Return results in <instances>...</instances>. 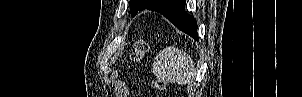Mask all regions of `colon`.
<instances>
[{"instance_id": "colon-1", "label": "colon", "mask_w": 302, "mask_h": 97, "mask_svg": "<svg viewBox=\"0 0 302 97\" xmlns=\"http://www.w3.org/2000/svg\"><path fill=\"white\" fill-rule=\"evenodd\" d=\"M146 51H147L146 42L139 39L134 43L133 48L129 54V57L134 62L140 61L143 58ZM152 87L156 89H162L164 87V84L161 82H153Z\"/></svg>"}]
</instances>
